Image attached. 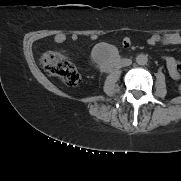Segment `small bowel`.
<instances>
[{
    "mask_svg": "<svg viewBox=\"0 0 181 181\" xmlns=\"http://www.w3.org/2000/svg\"><path fill=\"white\" fill-rule=\"evenodd\" d=\"M72 39L77 40L78 36L73 35ZM53 40L56 44H62L66 40V35L63 33L56 34ZM147 42L149 45H155L159 43L163 45H179L181 44V36L178 33H168L164 35L153 34L152 36L149 37ZM123 46L124 47L130 46V39L128 37L124 38ZM165 62H166L167 70L170 77L175 80L180 79L181 78V63H179L173 57H166Z\"/></svg>",
    "mask_w": 181,
    "mask_h": 181,
    "instance_id": "obj_1",
    "label": "small bowel"
}]
</instances>
